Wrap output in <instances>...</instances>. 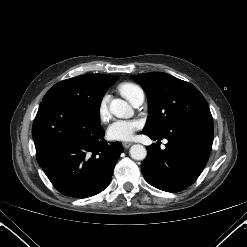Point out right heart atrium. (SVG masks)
Listing matches in <instances>:
<instances>
[{"label":"right heart atrium","instance_id":"1","mask_svg":"<svg viewBox=\"0 0 247 247\" xmlns=\"http://www.w3.org/2000/svg\"><path fill=\"white\" fill-rule=\"evenodd\" d=\"M108 103H109V96L105 95L100 100L99 107H98L99 118L104 123L110 119Z\"/></svg>","mask_w":247,"mask_h":247}]
</instances>
